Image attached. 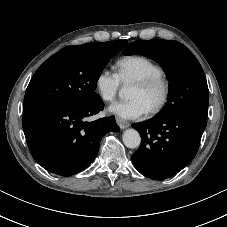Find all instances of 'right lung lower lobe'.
I'll return each instance as SVG.
<instances>
[{"instance_id":"1","label":"right lung lower lobe","mask_w":227,"mask_h":227,"mask_svg":"<svg viewBox=\"0 0 227 227\" xmlns=\"http://www.w3.org/2000/svg\"><path fill=\"white\" fill-rule=\"evenodd\" d=\"M103 108L99 98L87 104H50L24 112L23 130L35 161L61 176L86 169L95 159L102 137L119 130L114 116L85 121Z\"/></svg>"}]
</instances>
